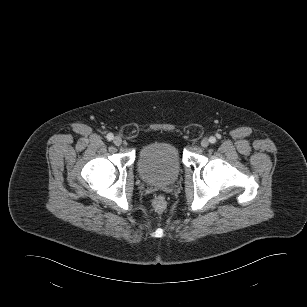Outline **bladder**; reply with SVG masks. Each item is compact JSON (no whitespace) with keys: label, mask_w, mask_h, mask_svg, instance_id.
Returning a JSON list of instances; mask_svg holds the SVG:
<instances>
[{"label":"bladder","mask_w":307,"mask_h":307,"mask_svg":"<svg viewBox=\"0 0 307 307\" xmlns=\"http://www.w3.org/2000/svg\"><path fill=\"white\" fill-rule=\"evenodd\" d=\"M179 148L169 141H156L139 152L137 170L140 177L150 184H170L182 170Z\"/></svg>","instance_id":"bladder-1"}]
</instances>
